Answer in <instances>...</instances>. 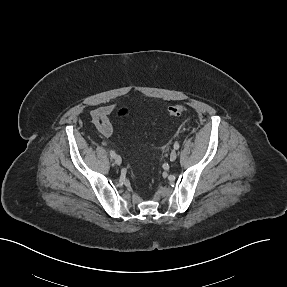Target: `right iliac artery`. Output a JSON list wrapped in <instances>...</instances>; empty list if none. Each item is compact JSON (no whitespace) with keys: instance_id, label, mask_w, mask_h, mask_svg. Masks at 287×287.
<instances>
[{"instance_id":"82829eb1","label":"right iliac artery","mask_w":287,"mask_h":287,"mask_svg":"<svg viewBox=\"0 0 287 287\" xmlns=\"http://www.w3.org/2000/svg\"><path fill=\"white\" fill-rule=\"evenodd\" d=\"M110 156H111V158H115L116 153L114 151H110Z\"/></svg>"}]
</instances>
